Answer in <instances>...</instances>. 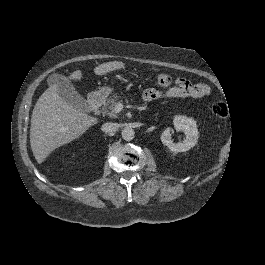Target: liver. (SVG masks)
<instances>
[{"instance_id": "obj_1", "label": "liver", "mask_w": 265, "mask_h": 265, "mask_svg": "<svg viewBox=\"0 0 265 265\" xmlns=\"http://www.w3.org/2000/svg\"><path fill=\"white\" fill-rule=\"evenodd\" d=\"M122 61L105 62L93 69L96 76H105L125 69ZM84 74L80 69L66 78L70 82H80ZM59 85L50 86L37 101L32 113L30 146L36 162L41 165L56 149L75 141L89 128L99 123V119L78 110L65 102L58 94Z\"/></svg>"}]
</instances>
